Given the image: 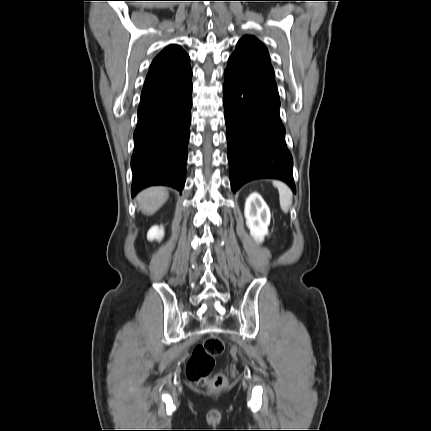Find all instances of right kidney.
<instances>
[{"instance_id": "ca27d5eb", "label": "right kidney", "mask_w": 431, "mask_h": 431, "mask_svg": "<svg viewBox=\"0 0 431 431\" xmlns=\"http://www.w3.org/2000/svg\"><path fill=\"white\" fill-rule=\"evenodd\" d=\"M163 235H164V230L162 227L159 228L158 226H153L149 230L147 237L149 240H154V239L161 240Z\"/></svg>"}]
</instances>
